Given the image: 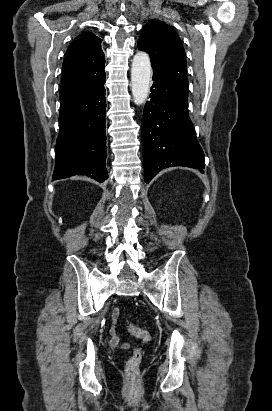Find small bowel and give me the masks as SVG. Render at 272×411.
<instances>
[{
  "instance_id": "1",
  "label": "small bowel",
  "mask_w": 272,
  "mask_h": 411,
  "mask_svg": "<svg viewBox=\"0 0 272 411\" xmlns=\"http://www.w3.org/2000/svg\"><path fill=\"white\" fill-rule=\"evenodd\" d=\"M120 312L118 308H115L111 314V321H112V327L110 329V344L112 347H122V348H127L128 345L126 343H122L120 341V338L116 332L115 329V324L119 318Z\"/></svg>"
}]
</instances>
